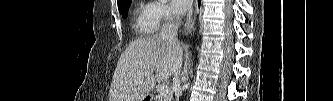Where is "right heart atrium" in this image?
<instances>
[{"mask_svg": "<svg viewBox=\"0 0 333 101\" xmlns=\"http://www.w3.org/2000/svg\"><path fill=\"white\" fill-rule=\"evenodd\" d=\"M153 14L158 24L169 22L176 17L175 11L164 1L154 3Z\"/></svg>", "mask_w": 333, "mask_h": 101, "instance_id": "d8ad5b80", "label": "right heart atrium"}]
</instances>
